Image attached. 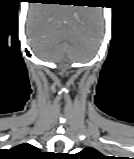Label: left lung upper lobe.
I'll list each match as a JSON object with an SVG mask.
<instances>
[{
    "instance_id": "1",
    "label": "left lung upper lobe",
    "mask_w": 134,
    "mask_h": 159,
    "mask_svg": "<svg viewBox=\"0 0 134 159\" xmlns=\"http://www.w3.org/2000/svg\"><path fill=\"white\" fill-rule=\"evenodd\" d=\"M71 159H107L100 152L94 148L87 147L80 151L79 153L71 156Z\"/></svg>"
}]
</instances>
